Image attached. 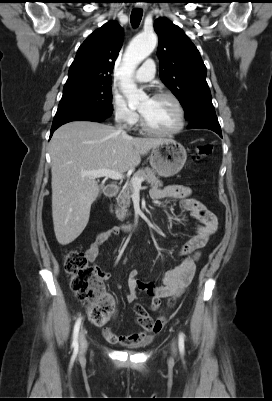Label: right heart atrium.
<instances>
[{
    "label": "right heart atrium",
    "instance_id": "1",
    "mask_svg": "<svg viewBox=\"0 0 272 401\" xmlns=\"http://www.w3.org/2000/svg\"><path fill=\"white\" fill-rule=\"evenodd\" d=\"M110 104L117 122L127 128L136 124L138 121V115L127 105L122 96L112 93Z\"/></svg>",
    "mask_w": 272,
    "mask_h": 401
}]
</instances>
